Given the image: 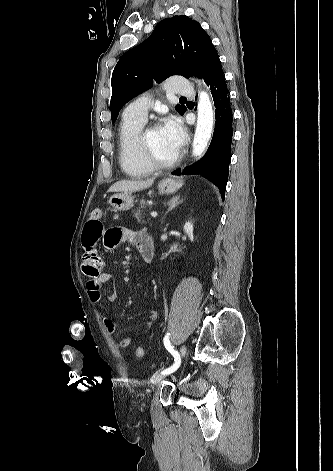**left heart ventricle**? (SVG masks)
I'll use <instances>...</instances> for the list:
<instances>
[{
  "label": "left heart ventricle",
  "instance_id": "1",
  "mask_svg": "<svg viewBox=\"0 0 333 471\" xmlns=\"http://www.w3.org/2000/svg\"><path fill=\"white\" fill-rule=\"evenodd\" d=\"M145 141L150 151L162 161H169L177 155L165 141L160 127L148 130Z\"/></svg>",
  "mask_w": 333,
  "mask_h": 471
}]
</instances>
